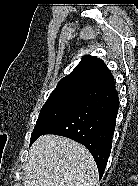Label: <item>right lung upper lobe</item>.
<instances>
[{"label":"right lung upper lobe","instance_id":"1","mask_svg":"<svg viewBox=\"0 0 138 186\" xmlns=\"http://www.w3.org/2000/svg\"><path fill=\"white\" fill-rule=\"evenodd\" d=\"M67 87L106 90L115 88V83L111 72L101 59L84 56L73 72L59 81L55 90Z\"/></svg>","mask_w":138,"mask_h":186}]
</instances>
